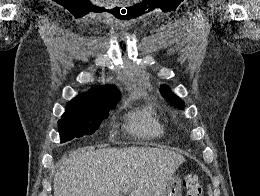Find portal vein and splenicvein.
<instances>
[{"label": "portal vein and splenic vein", "mask_w": 260, "mask_h": 196, "mask_svg": "<svg viewBox=\"0 0 260 196\" xmlns=\"http://www.w3.org/2000/svg\"><path fill=\"white\" fill-rule=\"evenodd\" d=\"M130 188H123L122 192H124V194H127V192H129Z\"/></svg>", "instance_id": "obj_1"}]
</instances>
